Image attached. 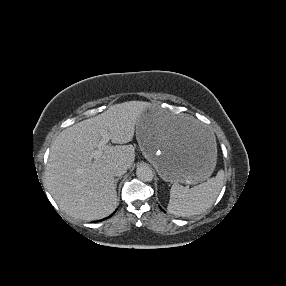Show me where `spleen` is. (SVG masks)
<instances>
[{
    "mask_svg": "<svg viewBox=\"0 0 286 286\" xmlns=\"http://www.w3.org/2000/svg\"><path fill=\"white\" fill-rule=\"evenodd\" d=\"M224 171H218L216 177L187 189L177 183L170 189L168 211L176 216H191L200 214L210 208L215 202L223 186Z\"/></svg>",
    "mask_w": 286,
    "mask_h": 286,
    "instance_id": "spleen-1",
    "label": "spleen"
}]
</instances>
